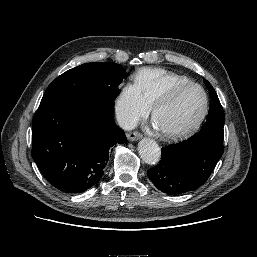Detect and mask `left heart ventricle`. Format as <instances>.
I'll return each mask as SVG.
<instances>
[{
  "label": "left heart ventricle",
  "instance_id": "left-heart-ventricle-1",
  "mask_svg": "<svg viewBox=\"0 0 257 257\" xmlns=\"http://www.w3.org/2000/svg\"><path fill=\"white\" fill-rule=\"evenodd\" d=\"M204 97L198 88H188L162 106L157 112L158 124L166 130H175L191 125L203 109Z\"/></svg>",
  "mask_w": 257,
  "mask_h": 257
}]
</instances>
